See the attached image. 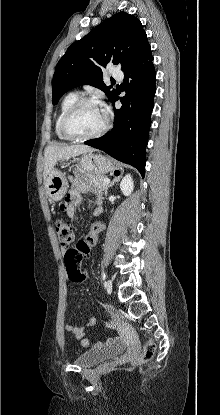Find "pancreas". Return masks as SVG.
Listing matches in <instances>:
<instances>
[{"instance_id":"pancreas-1","label":"pancreas","mask_w":220,"mask_h":415,"mask_svg":"<svg viewBox=\"0 0 220 415\" xmlns=\"http://www.w3.org/2000/svg\"><path fill=\"white\" fill-rule=\"evenodd\" d=\"M86 179L91 185V188L93 190H101V191H107L108 184H104V179H106V176L104 175H86Z\"/></svg>"}]
</instances>
